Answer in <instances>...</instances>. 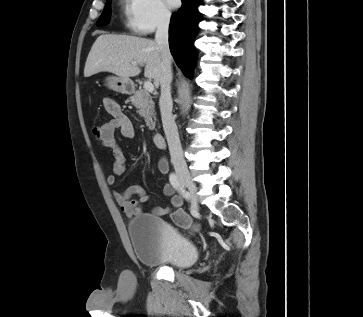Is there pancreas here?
<instances>
[{
	"instance_id": "obj_1",
	"label": "pancreas",
	"mask_w": 363,
	"mask_h": 317,
	"mask_svg": "<svg viewBox=\"0 0 363 317\" xmlns=\"http://www.w3.org/2000/svg\"><path fill=\"white\" fill-rule=\"evenodd\" d=\"M130 101L137 108L139 115L144 117L148 128L154 130L156 121L155 104L149 92L144 89L138 90L130 97Z\"/></svg>"
}]
</instances>
